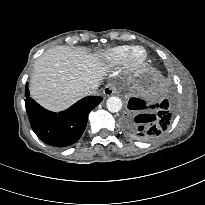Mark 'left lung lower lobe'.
<instances>
[{
	"instance_id": "1",
	"label": "left lung lower lobe",
	"mask_w": 205,
	"mask_h": 205,
	"mask_svg": "<svg viewBox=\"0 0 205 205\" xmlns=\"http://www.w3.org/2000/svg\"><path fill=\"white\" fill-rule=\"evenodd\" d=\"M129 114L124 118L122 126L125 132L134 139L150 141L158 138L169 127L174 110L170 102L162 101L160 105H153L151 111L146 109L144 101L131 98L128 103Z\"/></svg>"
}]
</instances>
